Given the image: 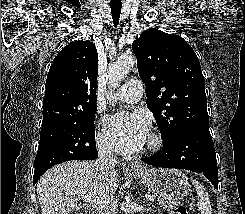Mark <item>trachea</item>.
Returning a JSON list of instances; mask_svg holds the SVG:
<instances>
[{
  "mask_svg": "<svg viewBox=\"0 0 245 214\" xmlns=\"http://www.w3.org/2000/svg\"><path fill=\"white\" fill-rule=\"evenodd\" d=\"M110 8H111V13H112V19H113V23L114 25H118L119 23V18H120V14H121V8H122V4H110Z\"/></svg>",
  "mask_w": 245,
  "mask_h": 214,
  "instance_id": "trachea-1",
  "label": "trachea"
}]
</instances>
